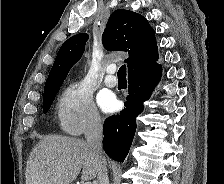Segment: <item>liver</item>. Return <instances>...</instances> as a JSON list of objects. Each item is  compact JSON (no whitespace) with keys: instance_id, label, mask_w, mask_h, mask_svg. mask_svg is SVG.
Listing matches in <instances>:
<instances>
[{"instance_id":"liver-1","label":"liver","mask_w":224,"mask_h":184,"mask_svg":"<svg viewBox=\"0 0 224 184\" xmlns=\"http://www.w3.org/2000/svg\"><path fill=\"white\" fill-rule=\"evenodd\" d=\"M101 164L86 141L60 135L44 136L27 161L26 184H71L96 178Z\"/></svg>"}]
</instances>
